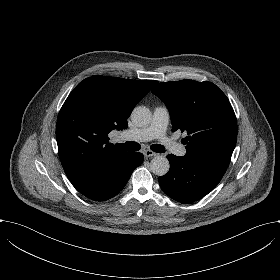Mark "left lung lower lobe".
<instances>
[{"label": "left lung lower lobe", "instance_id": "left-lung-lower-lobe-1", "mask_svg": "<svg viewBox=\"0 0 280 280\" xmlns=\"http://www.w3.org/2000/svg\"><path fill=\"white\" fill-rule=\"evenodd\" d=\"M170 169L159 177L162 190L181 203L197 201L212 191L222 179L228 166L187 157L167 155Z\"/></svg>", "mask_w": 280, "mask_h": 280}]
</instances>
